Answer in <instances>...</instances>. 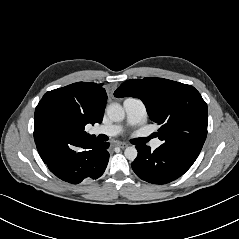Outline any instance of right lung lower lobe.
Masks as SVG:
<instances>
[{"instance_id": "98d812e1", "label": "right lung lower lobe", "mask_w": 239, "mask_h": 239, "mask_svg": "<svg viewBox=\"0 0 239 239\" xmlns=\"http://www.w3.org/2000/svg\"><path fill=\"white\" fill-rule=\"evenodd\" d=\"M108 147V142L97 138L72 139L58 144L43 161L61 180L78 184L104 173L109 160Z\"/></svg>"}]
</instances>
